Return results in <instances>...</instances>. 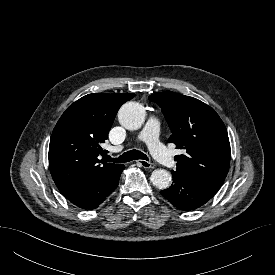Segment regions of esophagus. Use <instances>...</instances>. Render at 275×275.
Here are the masks:
<instances>
[{
	"instance_id": "34e87169",
	"label": "esophagus",
	"mask_w": 275,
	"mask_h": 275,
	"mask_svg": "<svg viewBox=\"0 0 275 275\" xmlns=\"http://www.w3.org/2000/svg\"><path fill=\"white\" fill-rule=\"evenodd\" d=\"M137 163L145 169H149L153 167V164L150 161L138 160Z\"/></svg>"
}]
</instances>
